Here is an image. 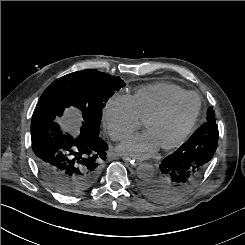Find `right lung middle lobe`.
<instances>
[{
	"instance_id": "dd1d6c3e",
	"label": "right lung middle lobe",
	"mask_w": 245,
	"mask_h": 245,
	"mask_svg": "<svg viewBox=\"0 0 245 245\" xmlns=\"http://www.w3.org/2000/svg\"><path fill=\"white\" fill-rule=\"evenodd\" d=\"M125 85L118 76L94 69L77 71L54 81L43 92L37 107H47L55 116H61L66 107L75 106L82 111L81 132L89 137L99 136L105 103Z\"/></svg>"
}]
</instances>
